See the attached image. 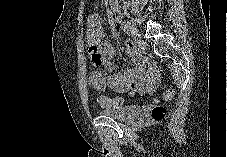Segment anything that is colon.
<instances>
[{
	"mask_svg": "<svg viewBox=\"0 0 227 157\" xmlns=\"http://www.w3.org/2000/svg\"><path fill=\"white\" fill-rule=\"evenodd\" d=\"M92 63L98 65L101 62ZM89 82L96 90L102 91V84L97 73H92L89 76ZM173 96L174 90L170 88L164 92L161 100L164 102H168L172 100ZM97 102L102 107H119L124 104L125 100L122 97L109 98L108 96L101 94L97 97ZM166 114L167 110L162 104H160V100H155V103L151 110L152 118L156 121H160L165 118Z\"/></svg>",
	"mask_w": 227,
	"mask_h": 157,
	"instance_id": "colon-1",
	"label": "colon"
}]
</instances>
